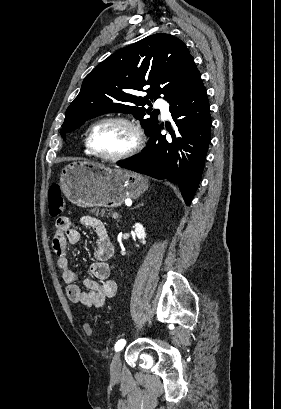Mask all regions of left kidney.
Segmentation results:
<instances>
[{
  "label": "left kidney",
  "mask_w": 281,
  "mask_h": 409,
  "mask_svg": "<svg viewBox=\"0 0 281 409\" xmlns=\"http://www.w3.org/2000/svg\"><path fill=\"white\" fill-rule=\"evenodd\" d=\"M135 227V235L137 237V239H140L141 243H143V245H145L146 241V233H145V229L143 227V225H141V223H135L134 225Z\"/></svg>",
  "instance_id": "1"
}]
</instances>
